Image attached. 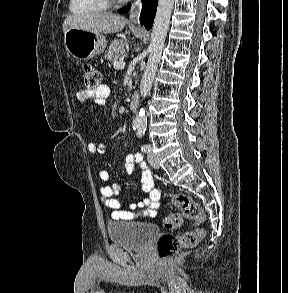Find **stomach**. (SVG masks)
<instances>
[{"mask_svg":"<svg viewBox=\"0 0 288 293\" xmlns=\"http://www.w3.org/2000/svg\"><path fill=\"white\" fill-rule=\"evenodd\" d=\"M64 45L72 57L86 60L101 54L107 41L100 33L71 27L64 33Z\"/></svg>","mask_w":288,"mask_h":293,"instance_id":"obj_1","label":"stomach"}]
</instances>
